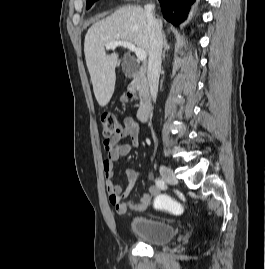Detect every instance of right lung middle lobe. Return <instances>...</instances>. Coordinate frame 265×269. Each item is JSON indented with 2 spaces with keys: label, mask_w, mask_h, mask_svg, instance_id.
<instances>
[{
  "label": "right lung middle lobe",
  "mask_w": 265,
  "mask_h": 269,
  "mask_svg": "<svg viewBox=\"0 0 265 269\" xmlns=\"http://www.w3.org/2000/svg\"><path fill=\"white\" fill-rule=\"evenodd\" d=\"M97 0H87V9L92 6V4Z\"/></svg>",
  "instance_id": "1"
}]
</instances>
